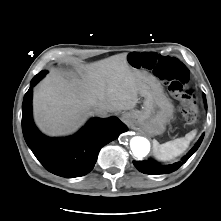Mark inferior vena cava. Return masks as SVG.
<instances>
[{"mask_svg":"<svg viewBox=\"0 0 221 221\" xmlns=\"http://www.w3.org/2000/svg\"><path fill=\"white\" fill-rule=\"evenodd\" d=\"M94 113L99 117H106L108 115V112L104 109H96Z\"/></svg>","mask_w":221,"mask_h":221,"instance_id":"obj_1","label":"inferior vena cava"}]
</instances>
